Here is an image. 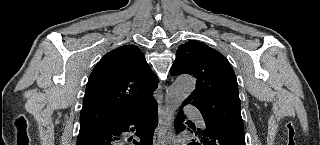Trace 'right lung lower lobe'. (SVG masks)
Listing matches in <instances>:
<instances>
[{
  "label": "right lung lower lobe",
  "instance_id": "98d812e1",
  "mask_svg": "<svg viewBox=\"0 0 320 145\" xmlns=\"http://www.w3.org/2000/svg\"><path fill=\"white\" fill-rule=\"evenodd\" d=\"M157 124V102H155L130 119L80 128L77 145H152ZM129 131H136L140 141L133 140V144H129L131 139L124 138V133Z\"/></svg>",
  "mask_w": 320,
  "mask_h": 145
}]
</instances>
